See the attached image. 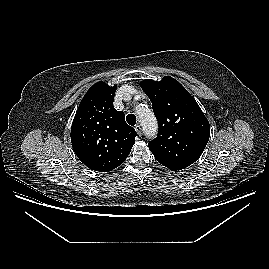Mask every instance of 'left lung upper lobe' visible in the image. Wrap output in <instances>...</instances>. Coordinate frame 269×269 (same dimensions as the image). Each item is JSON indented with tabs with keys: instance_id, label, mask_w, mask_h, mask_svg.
I'll return each instance as SVG.
<instances>
[{
	"instance_id": "5c2ea615",
	"label": "left lung upper lobe",
	"mask_w": 269,
	"mask_h": 269,
	"mask_svg": "<svg viewBox=\"0 0 269 269\" xmlns=\"http://www.w3.org/2000/svg\"><path fill=\"white\" fill-rule=\"evenodd\" d=\"M141 87L152 102L159 132L149 149L163 166L177 171L201 156L210 136V125L195 99L174 78L146 79Z\"/></svg>"
}]
</instances>
